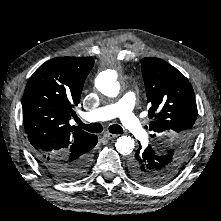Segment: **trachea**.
I'll return each instance as SVG.
<instances>
[{"label":"trachea","mask_w":221,"mask_h":221,"mask_svg":"<svg viewBox=\"0 0 221 221\" xmlns=\"http://www.w3.org/2000/svg\"><path fill=\"white\" fill-rule=\"evenodd\" d=\"M76 122L78 123L79 128H82L91 133H100L103 130V127L100 123L84 124L79 119H77ZM109 132L112 134H122L123 129L121 126L117 124H113V125H110Z\"/></svg>","instance_id":"trachea-1"}]
</instances>
